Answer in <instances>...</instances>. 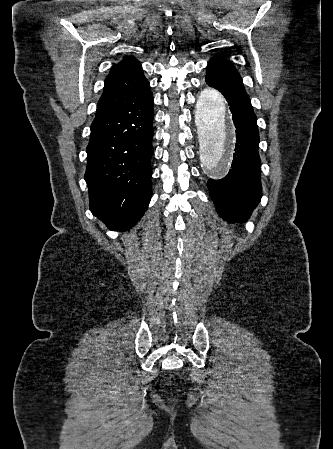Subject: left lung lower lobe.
Here are the masks:
<instances>
[{"label": "left lung lower lobe", "mask_w": 333, "mask_h": 449, "mask_svg": "<svg viewBox=\"0 0 333 449\" xmlns=\"http://www.w3.org/2000/svg\"><path fill=\"white\" fill-rule=\"evenodd\" d=\"M205 81L226 98L236 128L231 169L226 177L207 182L217 212L229 222L246 221L261 199L257 118L240 80L208 72Z\"/></svg>", "instance_id": "0a47b994"}]
</instances>
